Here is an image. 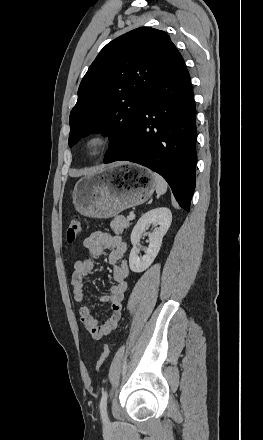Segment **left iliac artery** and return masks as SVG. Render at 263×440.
<instances>
[{
    "instance_id": "left-iliac-artery-1",
    "label": "left iliac artery",
    "mask_w": 263,
    "mask_h": 440,
    "mask_svg": "<svg viewBox=\"0 0 263 440\" xmlns=\"http://www.w3.org/2000/svg\"><path fill=\"white\" fill-rule=\"evenodd\" d=\"M107 391L103 392L101 401H100V410L102 412V416L104 421H107V413H106V407H107Z\"/></svg>"
}]
</instances>
